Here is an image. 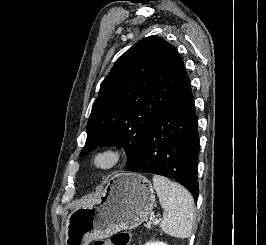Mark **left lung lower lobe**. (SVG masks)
<instances>
[{"label": "left lung lower lobe", "instance_id": "0a47b994", "mask_svg": "<svg viewBox=\"0 0 266 245\" xmlns=\"http://www.w3.org/2000/svg\"><path fill=\"white\" fill-rule=\"evenodd\" d=\"M198 118L190 80L183 81L156 116L142 139L141 151L126 171L174 179L198 199Z\"/></svg>", "mask_w": 266, "mask_h": 245}]
</instances>
